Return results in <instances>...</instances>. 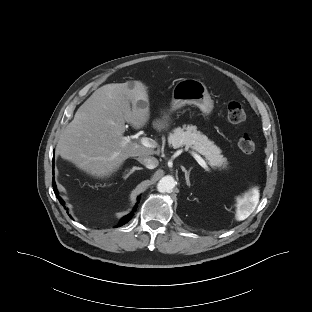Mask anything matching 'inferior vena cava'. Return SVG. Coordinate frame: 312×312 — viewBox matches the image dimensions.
<instances>
[{
	"label": "inferior vena cava",
	"mask_w": 312,
	"mask_h": 312,
	"mask_svg": "<svg viewBox=\"0 0 312 312\" xmlns=\"http://www.w3.org/2000/svg\"><path fill=\"white\" fill-rule=\"evenodd\" d=\"M137 160L148 169H154L159 164L155 157L139 156Z\"/></svg>",
	"instance_id": "1"
}]
</instances>
